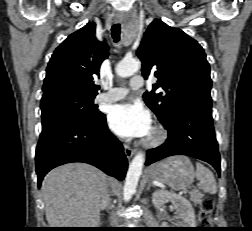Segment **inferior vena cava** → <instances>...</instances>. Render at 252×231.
Masks as SVG:
<instances>
[{
	"label": "inferior vena cava",
	"instance_id": "inferior-vena-cava-1",
	"mask_svg": "<svg viewBox=\"0 0 252 231\" xmlns=\"http://www.w3.org/2000/svg\"><path fill=\"white\" fill-rule=\"evenodd\" d=\"M101 202H102V204H104L108 207L111 206V199L109 198V194H108L107 190L104 192ZM110 223L112 226H116L118 224V218L116 217V215L113 212L111 213V216H110Z\"/></svg>",
	"mask_w": 252,
	"mask_h": 231
}]
</instances>
